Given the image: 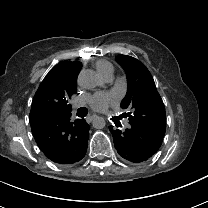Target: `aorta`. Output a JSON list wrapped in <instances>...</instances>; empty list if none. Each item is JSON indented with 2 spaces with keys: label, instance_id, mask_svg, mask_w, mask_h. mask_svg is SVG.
<instances>
[{
  "label": "aorta",
  "instance_id": "762f6f07",
  "mask_svg": "<svg viewBox=\"0 0 208 208\" xmlns=\"http://www.w3.org/2000/svg\"><path fill=\"white\" fill-rule=\"evenodd\" d=\"M92 125L96 129H102L105 127L106 123L103 117L100 116H94V119L92 121Z\"/></svg>",
  "mask_w": 208,
  "mask_h": 208
}]
</instances>
